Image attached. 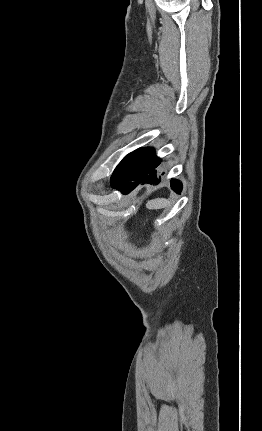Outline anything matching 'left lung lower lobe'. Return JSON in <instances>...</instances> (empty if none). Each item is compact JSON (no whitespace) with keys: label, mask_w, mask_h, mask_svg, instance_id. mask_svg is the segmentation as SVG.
Instances as JSON below:
<instances>
[{"label":"left lung lower lobe","mask_w":262,"mask_h":431,"mask_svg":"<svg viewBox=\"0 0 262 431\" xmlns=\"http://www.w3.org/2000/svg\"><path fill=\"white\" fill-rule=\"evenodd\" d=\"M161 160L154 154L153 148H141L134 156L131 165V177L125 185L119 188L123 194H128L141 182L157 184L160 178L157 176V167ZM171 188L176 192H181L182 184L179 180L172 179L170 181Z\"/></svg>","instance_id":"left-lung-lower-lobe-1"}]
</instances>
